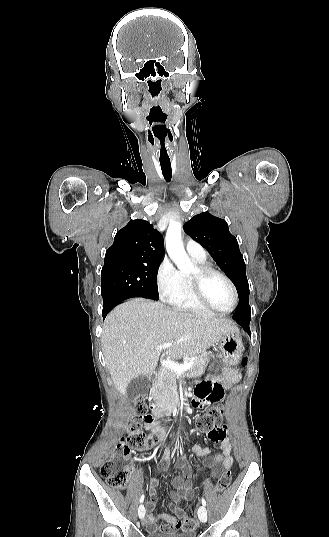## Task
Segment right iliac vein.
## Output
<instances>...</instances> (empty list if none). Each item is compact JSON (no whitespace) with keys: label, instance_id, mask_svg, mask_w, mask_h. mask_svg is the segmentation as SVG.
<instances>
[{"label":"right iliac vein","instance_id":"obj_1","mask_svg":"<svg viewBox=\"0 0 329 537\" xmlns=\"http://www.w3.org/2000/svg\"><path fill=\"white\" fill-rule=\"evenodd\" d=\"M138 516L140 519H143L145 516V507L143 505H140L138 508Z\"/></svg>","mask_w":329,"mask_h":537}]
</instances>
